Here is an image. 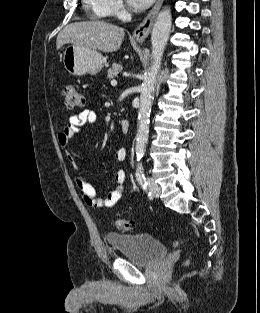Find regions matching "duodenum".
<instances>
[{
  "label": "duodenum",
  "instance_id": "obj_1",
  "mask_svg": "<svg viewBox=\"0 0 260 313\" xmlns=\"http://www.w3.org/2000/svg\"><path fill=\"white\" fill-rule=\"evenodd\" d=\"M122 132L124 134H128L130 132V124L129 121L124 119L121 121Z\"/></svg>",
  "mask_w": 260,
  "mask_h": 313
}]
</instances>
